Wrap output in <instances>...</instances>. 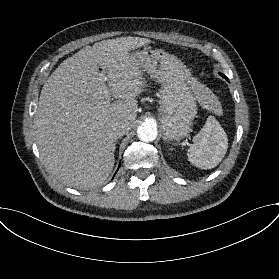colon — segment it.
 I'll return each instance as SVG.
<instances>
[{
  "instance_id": "1",
  "label": "colon",
  "mask_w": 279,
  "mask_h": 279,
  "mask_svg": "<svg viewBox=\"0 0 279 279\" xmlns=\"http://www.w3.org/2000/svg\"><path fill=\"white\" fill-rule=\"evenodd\" d=\"M198 75L201 76V77L204 76L205 75L204 69H199L198 70Z\"/></svg>"
}]
</instances>
